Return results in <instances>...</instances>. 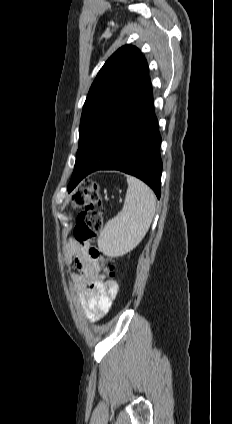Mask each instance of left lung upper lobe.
Returning <instances> with one entry per match:
<instances>
[{"mask_svg":"<svg viewBox=\"0 0 232 424\" xmlns=\"http://www.w3.org/2000/svg\"><path fill=\"white\" fill-rule=\"evenodd\" d=\"M148 75L145 58L132 45L121 47L106 61L95 78L83 107L72 175L82 173L95 141L140 89Z\"/></svg>","mask_w":232,"mask_h":424,"instance_id":"obj_1","label":"left lung upper lobe"}]
</instances>
